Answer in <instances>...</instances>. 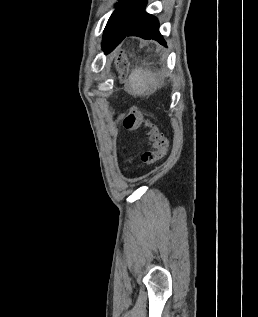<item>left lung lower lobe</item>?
Returning a JSON list of instances; mask_svg holds the SVG:
<instances>
[{
	"label": "left lung lower lobe",
	"mask_w": 258,
	"mask_h": 317,
	"mask_svg": "<svg viewBox=\"0 0 258 317\" xmlns=\"http://www.w3.org/2000/svg\"><path fill=\"white\" fill-rule=\"evenodd\" d=\"M146 0H132L128 19L122 29H105L102 47L105 54L111 52L126 36L154 39L166 46L159 32L158 20L145 12Z\"/></svg>",
	"instance_id": "obj_1"
}]
</instances>
